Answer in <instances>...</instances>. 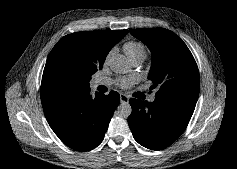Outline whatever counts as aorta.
I'll list each match as a JSON object with an SVG mask.
<instances>
[{"mask_svg": "<svg viewBox=\"0 0 237 169\" xmlns=\"http://www.w3.org/2000/svg\"><path fill=\"white\" fill-rule=\"evenodd\" d=\"M110 69L118 74H125L131 71L132 65L130 60L124 55H115L110 59ZM117 114L122 118H128L132 112V107L128 102H121L117 107Z\"/></svg>", "mask_w": 237, "mask_h": 169, "instance_id": "obj_1", "label": "aorta"}]
</instances>
